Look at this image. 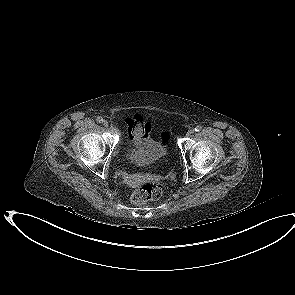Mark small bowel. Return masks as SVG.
Returning <instances> with one entry per match:
<instances>
[{
    "instance_id": "obj_1",
    "label": "small bowel",
    "mask_w": 295,
    "mask_h": 295,
    "mask_svg": "<svg viewBox=\"0 0 295 295\" xmlns=\"http://www.w3.org/2000/svg\"><path fill=\"white\" fill-rule=\"evenodd\" d=\"M130 125V146L138 148L142 143L148 139L151 125L149 123L144 124L139 117L129 121ZM149 174L147 172H140L136 175H128L126 177V183L128 185L139 184L147 181Z\"/></svg>"
}]
</instances>
